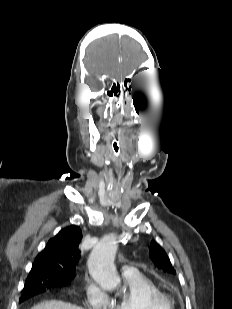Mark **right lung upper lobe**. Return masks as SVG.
<instances>
[{
	"mask_svg": "<svg viewBox=\"0 0 232 309\" xmlns=\"http://www.w3.org/2000/svg\"><path fill=\"white\" fill-rule=\"evenodd\" d=\"M80 240L81 229L78 226L71 225L62 229L37 255L28 276L48 273L72 280L80 258L78 251Z\"/></svg>",
	"mask_w": 232,
	"mask_h": 309,
	"instance_id": "cb5924a9",
	"label": "right lung upper lobe"
}]
</instances>
